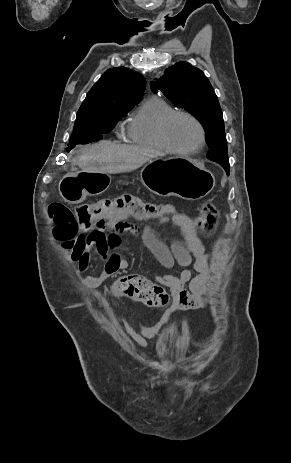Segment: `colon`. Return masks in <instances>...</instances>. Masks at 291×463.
I'll list each match as a JSON object with an SVG mask.
<instances>
[{
	"instance_id": "5ec220e1",
	"label": "colon",
	"mask_w": 291,
	"mask_h": 463,
	"mask_svg": "<svg viewBox=\"0 0 291 463\" xmlns=\"http://www.w3.org/2000/svg\"><path fill=\"white\" fill-rule=\"evenodd\" d=\"M179 209L177 202L146 203L132 196L116 199H103L93 204H79L70 208L62 203H52L48 216L53 221V234L62 241V246L71 249L75 240L83 232L104 228L109 217H132L134 214L147 222L164 226L176 224L181 230L211 232L217 224L218 212L207 203L198 213L189 214ZM113 292L117 296L129 297L153 308H165L169 297L164 289L145 277L138 275L122 276L116 280Z\"/></svg>"
}]
</instances>
